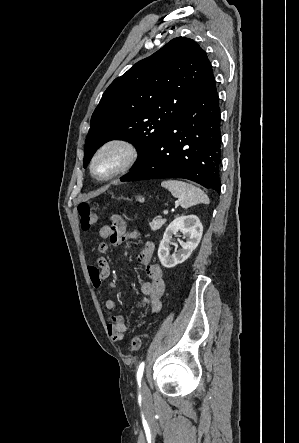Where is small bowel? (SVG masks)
<instances>
[{
  "instance_id": "c3829d8e",
  "label": "small bowel",
  "mask_w": 299,
  "mask_h": 443,
  "mask_svg": "<svg viewBox=\"0 0 299 443\" xmlns=\"http://www.w3.org/2000/svg\"><path fill=\"white\" fill-rule=\"evenodd\" d=\"M126 223L120 215H112L110 222L103 225L99 229V236L103 240H109L113 245H120L129 240H138L141 234L138 231H133L126 234ZM98 252L100 256L96 260V264L89 268V277L92 286L98 290L102 295V282L106 280L111 274V268L108 260L104 257L109 252V245L106 242H101L98 245ZM154 253V244L152 242L145 243L139 254L138 261L145 267V272L148 280L141 285V299L147 308V316L153 315L160 311L161 301L165 290V280L163 271L160 266L151 263ZM105 308L108 311L116 309V303L112 299L105 300ZM144 320L138 323L141 326ZM107 331L110 338L114 342H120L125 338L127 332V324L121 315H114L107 324Z\"/></svg>"
}]
</instances>
